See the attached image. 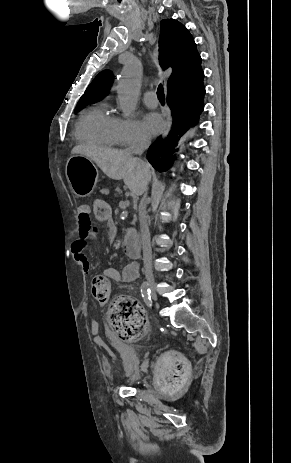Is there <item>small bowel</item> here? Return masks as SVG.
Masks as SVG:
<instances>
[{"mask_svg": "<svg viewBox=\"0 0 291 463\" xmlns=\"http://www.w3.org/2000/svg\"><path fill=\"white\" fill-rule=\"evenodd\" d=\"M107 220V233L109 243L114 245L116 243L117 233L114 222L108 218ZM98 238V228L92 224L90 219V212L87 206H81L78 214V228L77 238L71 243V252L75 261L81 266L85 273L90 272V265L85 254V248L89 240H96ZM104 275L114 281L132 282L137 279L138 272L137 266L134 264H128L119 271L115 268H107L104 271ZM97 332V328L94 329Z\"/></svg>", "mask_w": 291, "mask_h": 463, "instance_id": "c3829d8e", "label": "small bowel"}]
</instances>
